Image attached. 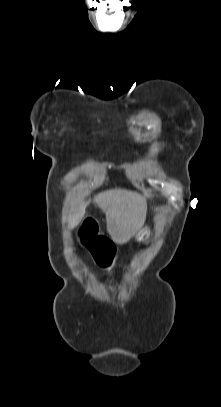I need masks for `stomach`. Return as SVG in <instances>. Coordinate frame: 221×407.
Listing matches in <instances>:
<instances>
[{
  "label": "stomach",
  "instance_id": "0dacf381",
  "mask_svg": "<svg viewBox=\"0 0 221 407\" xmlns=\"http://www.w3.org/2000/svg\"><path fill=\"white\" fill-rule=\"evenodd\" d=\"M134 238L143 243H147L152 239V233L148 227H142L135 235Z\"/></svg>",
  "mask_w": 221,
  "mask_h": 407
}]
</instances>
